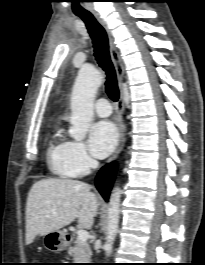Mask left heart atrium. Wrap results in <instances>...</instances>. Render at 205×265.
Instances as JSON below:
<instances>
[{
	"mask_svg": "<svg viewBox=\"0 0 205 265\" xmlns=\"http://www.w3.org/2000/svg\"><path fill=\"white\" fill-rule=\"evenodd\" d=\"M118 132L110 121H99L92 126L90 133V148L94 156L104 158L115 148Z\"/></svg>",
	"mask_w": 205,
	"mask_h": 265,
	"instance_id": "1",
	"label": "left heart atrium"
}]
</instances>
